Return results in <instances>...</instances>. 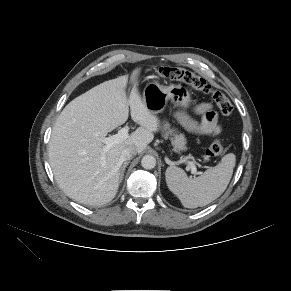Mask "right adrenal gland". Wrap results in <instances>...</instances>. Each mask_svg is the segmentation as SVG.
Wrapping results in <instances>:
<instances>
[{
  "instance_id": "2a0ac1e0",
  "label": "right adrenal gland",
  "mask_w": 291,
  "mask_h": 291,
  "mask_svg": "<svg viewBox=\"0 0 291 291\" xmlns=\"http://www.w3.org/2000/svg\"><path fill=\"white\" fill-rule=\"evenodd\" d=\"M128 164H129V161H126V162L123 163V165L121 167V171H120V182L123 180L125 168L127 167Z\"/></svg>"
}]
</instances>
